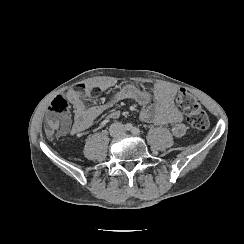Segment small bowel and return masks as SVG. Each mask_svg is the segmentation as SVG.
<instances>
[{
  "label": "small bowel",
  "instance_id": "c3829d8e",
  "mask_svg": "<svg viewBox=\"0 0 244 244\" xmlns=\"http://www.w3.org/2000/svg\"><path fill=\"white\" fill-rule=\"evenodd\" d=\"M114 85L112 80H98L86 84L87 87H98L100 90L111 89ZM177 94L176 89L166 85H159L153 92H150L139 86L121 84L108 98L87 105L84 97L71 91L68 95L74 107V123L71 132L74 135L87 132L92 122L105 110L121 99L130 98L142 107L139 113L140 121L160 127L171 126L172 135L178 139L182 138L186 134L187 127L184 123V113L176 102ZM119 116L120 111L112 110L106 118L113 121Z\"/></svg>",
  "mask_w": 244,
  "mask_h": 244
}]
</instances>
